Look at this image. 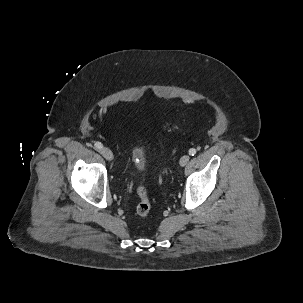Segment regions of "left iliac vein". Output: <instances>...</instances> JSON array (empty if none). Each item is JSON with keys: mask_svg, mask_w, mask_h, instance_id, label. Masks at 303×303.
Instances as JSON below:
<instances>
[{"mask_svg": "<svg viewBox=\"0 0 303 303\" xmlns=\"http://www.w3.org/2000/svg\"><path fill=\"white\" fill-rule=\"evenodd\" d=\"M189 159H190L189 155H183L179 161L180 165L182 167L185 166L188 163Z\"/></svg>", "mask_w": 303, "mask_h": 303, "instance_id": "obj_1", "label": "left iliac vein"}]
</instances>
